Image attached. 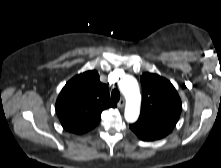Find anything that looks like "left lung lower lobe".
<instances>
[{"label": "left lung lower lobe", "mask_w": 221, "mask_h": 168, "mask_svg": "<svg viewBox=\"0 0 221 168\" xmlns=\"http://www.w3.org/2000/svg\"><path fill=\"white\" fill-rule=\"evenodd\" d=\"M140 139H142L144 141H152L151 139H146V138H140Z\"/></svg>", "instance_id": "1"}]
</instances>
